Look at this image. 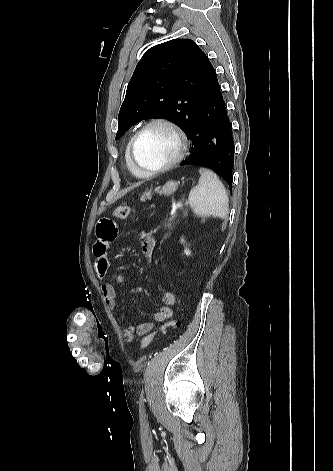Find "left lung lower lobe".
<instances>
[{
	"instance_id": "obj_1",
	"label": "left lung lower lobe",
	"mask_w": 333,
	"mask_h": 471,
	"mask_svg": "<svg viewBox=\"0 0 333 471\" xmlns=\"http://www.w3.org/2000/svg\"><path fill=\"white\" fill-rule=\"evenodd\" d=\"M187 136L192 141L191 154L181 166L209 167L232 189L234 142L231 123L216 74Z\"/></svg>"
}]
</instances>
